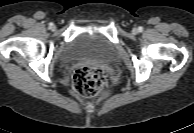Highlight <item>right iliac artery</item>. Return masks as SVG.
<instances>
[{
    "label": "right iliac artery",
    "instance_id": "right-iliac-artery-1",
    "mask_svg": "<svg viewBox=\"0 0 194 133\" xmlns=\"http://www.w3.org/2000/svg\"><path fill=\"white\" fill-rule=\"evenodd\" d=\"M53 26V23H49V27L51 28Z\"/></svg>",
    "mask_w": 194,
    "mask_h": 133
}]
</instances>
